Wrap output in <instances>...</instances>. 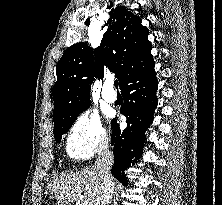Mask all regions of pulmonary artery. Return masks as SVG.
<instances>
[{"instance_id": "pulmonary-artery-1", "label": "pulmonary artery", "mask_w": 222, "mask_h": 205, "mask_svg": "<svg viewBox=\"0 0 222 205\" xmlns=\"http://www.w3.org/2000/svg\"><path fill=\"white\" fill-rule=\"evenodd\" d=\"M102 97L108 103H114L116 101V93L112 88V82H107L102 90Z\"/></svg>"}]
</instances>
